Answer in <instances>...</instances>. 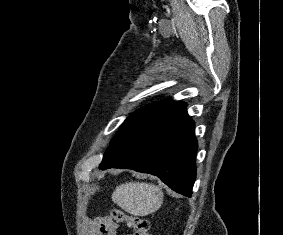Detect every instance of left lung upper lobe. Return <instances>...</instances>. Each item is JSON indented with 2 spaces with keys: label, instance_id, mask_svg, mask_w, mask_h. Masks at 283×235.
I'll list each match as a JSON object with an SVG mask.
<instances>
[{
  "label": "left lung upper lobe",
  "instance_id": "left-lung-upper-lobe-1",
  "mask_svg": "<svg viewBox=\"0 0 283 235\" xmlns=\"http://www.w3.org/2000/svg\"><path fill=\"white\" fill-rule=\"evenodd\" d=\"M175 103L177 102L172 100L157 102L136 111L130 117H128L119 128L117 134L111 140V147L106 150L102 163L105 162L111 153L117 149L131 134L138 130L148 120Z\"/></svg>",
  "mask_w": 283,
  "mask_h": 235
}]
</instances>
